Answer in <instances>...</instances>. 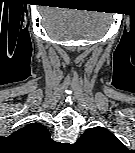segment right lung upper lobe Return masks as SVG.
<instances>
[{
    "instance_id": "obj_1",
    "label": "right lung upper lobe",
    "mask_w": 135,
    "mask_h": 153,
    "mask_svg": "<svg viewBox=\"0 0 135 153\" xmlns=\"http://www.w3.org/2000/svg\"><path fill=\"white\" fill-rule=\"evenodd\" d=\"M24 142L43 146L52 141L48 129L40 123H31L13 133Z\"/></svg>"
}]
</instances>
